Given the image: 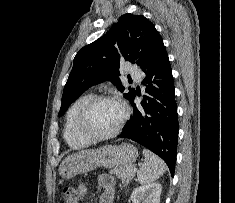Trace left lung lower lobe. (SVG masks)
I'll return each mask as SVG.
<instances>
[{
	"instance_id": "1",
	"label": "left lung lower lobe",
	"mask_w": 235,
	"mask_h": 203,
	"mask_svg": "<svg viewBox=\"0 0 235 203\" xmlns=\"http://www.w3.org/2000/svg\"><path fill=\"white\" fill-rule=\"evenodd\" d=\"M141 69L146 74L142 83L146 85L148 96H144L140 108L134 104L136 93L129 100L133 116L118 137L136 141L157 154L174 176L178 114L172 70L162 39L157 41Z\"/></svg>"
}]
</instances>
